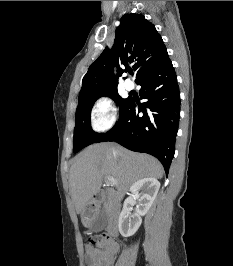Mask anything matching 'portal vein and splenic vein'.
Masks as SVG:
<instances>
[{
    "mask_svg": "<svg viewBox=\"0 0 233 266\" xmlns=\"http://www.w3.org/2000/svg\"><path fill=\"white\" fill-rule=\"evenodd\" d=\"M106 183L114 186L117 184V181L112 177H106Z\"/></svg>",
    "mask_w": 233,
    "mask_h": 266,
    "instance_id": "obj_1",
    "label": "portal vein and splenic vein"
}]
</instances>
